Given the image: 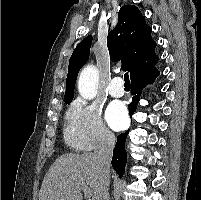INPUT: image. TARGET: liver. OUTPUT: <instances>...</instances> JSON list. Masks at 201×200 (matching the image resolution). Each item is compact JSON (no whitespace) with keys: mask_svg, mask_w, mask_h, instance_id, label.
<instances>
[{"mask_svg":"<svg viewBox=\"0 0 201 200\" xmlns=\"http://www.w3.org/2000/svg\"><path fill=\"white\" fill-rule=\"evenodd\" d=\"M101 172L94 153H67L58 157L46 173L39 200H83L86 186L96 200Z\"/></svg>","mask_w":201,"mask_h":200,"instance_id":"obj_1","label":"liver"}]
</instances>
